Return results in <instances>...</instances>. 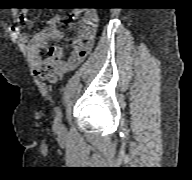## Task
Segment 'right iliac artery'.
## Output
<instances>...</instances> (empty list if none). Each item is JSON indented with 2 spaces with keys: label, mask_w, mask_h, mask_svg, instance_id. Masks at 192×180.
<instances>
[{
  "label": "right iliac artery",
  "mask_w": 192,
  "mask_h": 180,
  "mask_svg": "<svg viewBox=\"0 0 192 180\" xmlns=\"http://www.w3.org/2000/svg\"><path fill=\"white\" fill-rule=\"evenodd\" d=\"M61 119H62V113H61V109L58 107L55 113V121H54L55 128H58V125Z\"/></svg>",
  "instance_id": "1"
}]
</instances>
